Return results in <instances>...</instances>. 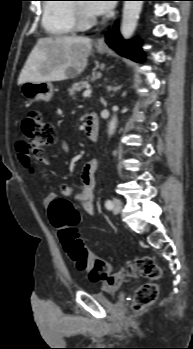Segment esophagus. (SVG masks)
<instances>
[{"instance_id": "34e87169", "label": "esophagus", "mask_w": 193, "mask_h": 349, "mask_svg": "<svg viewBox=\"0 0 193 349\" xmlns=\"http://www.w3.org/2000/svg\"><path fill=\"white\" fill-rule=\"evenodd\" d=\"M96 46L97 47H106V42H105V36L104 35L98 39V41L96 42Z\"/></svg>"}]
</instances>
